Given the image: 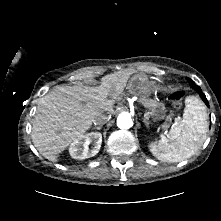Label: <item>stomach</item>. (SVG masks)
Wrapping results in <instances>:
<instances>
[{
	"instance_id": "0dacf381",
	"label": "stomach",
	"mask_w": 221,
	"mask_h": 221,
	"mask_svg": "<svg viewBox=\"0 0 221 221\" xmlns=\"http://www.w3.org/2000/svg\"><path fill=\"white\" fill-rule=\"evenodd\" d=\"M128 90L140 99H147L154 92V80L146 74L135 75L128 83Z\"/></svg>"
}]
</instances>
